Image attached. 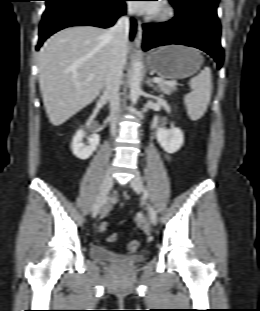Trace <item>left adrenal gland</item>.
Returning <instances> with one entry per match:
<instances>
[{
	"mask_svg": "<svg viewBox=\"0 0 260 311\" xmlns=\"http://www.w3.org/2000/svg\"><path fill=\"white\" fill-rule=\"evenodd\" d=\"M147 85L151 88H153L154 90H157V87L153 85V83L151 82V79L147 80Z\"/></svg>",
	"mask_w": 260,
	"mask_h": 311,
	"instance_id": "obj_1",
	"label": "left adrenal gland"
}]
</instances>
